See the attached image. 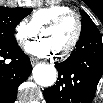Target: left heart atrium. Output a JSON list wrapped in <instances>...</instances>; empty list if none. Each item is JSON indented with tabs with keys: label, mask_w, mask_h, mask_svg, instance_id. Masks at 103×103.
Returning <instances> with one entry per match:
<instances>
[{
	"label": "left heart atrium",
	"mask_w": 103,
	"mask_h": 103,
	"mask_svg": "<svg viewBox=\"0 0 103 103\" xmlns=\"http://www.w3.org/2000/svg\"><path fill=\"white\" fill-rule=\"evenodd\" d=\"M25 50L37 57H47L56 52L51 40L46 37L28 43L25 46Z\"/></svg>",
	"instance_id": "left-heart-atrium-1"
}]
</instances>
